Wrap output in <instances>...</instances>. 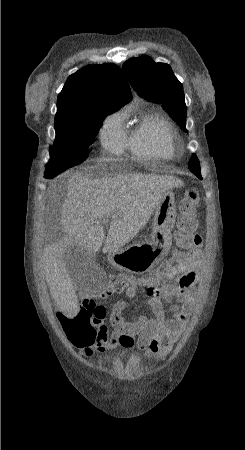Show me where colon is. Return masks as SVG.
Returning <instances> with one entry per match:
<instances>
[{"label":"colon","mask_w":245,"mask_h":450,"mask_svg":"<svg viewBox=\"0 0 245 450\" xmlns=\"http://www.w3.org/2000/svg\"><path fill=\"white\" fill-rule=\"evenodd\" d=\"M199 203V192L195 188L184 192L180 203V216L177 224L176 241L180 249L179 255L191 250H201L203 240L195 234L196 214ZM163 273V270L160 271ZM153 281V277L149 278ZM135 280L126 273H116L110 276L108 284L111 289L121 291L132 285ZM106 316L105 308L93 299L83 298L78 311L74 315L64 318L62 329L66 336L76 344L92 343L97 336V326L103 322ZM125 344L130 343V338L124 336Z\"/></svg>","instance_id":"colon-1"}]
</instances>
